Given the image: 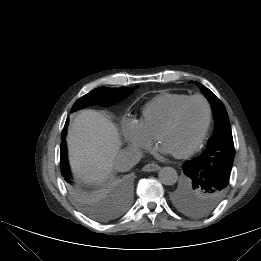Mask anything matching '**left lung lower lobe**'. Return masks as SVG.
<instances>
[{
    "label": "left lung lower lobe",
    "mask_w": 261,
    "mask_h": 261,
    "mask_svg": "<svg viewBox=\"0 0 261 261\" xmlns=\"http://www.w3.org/2000/svg\"><path fill=\"white\" fill-rule=\"evenodd\" d=\"M183 172L186 175V177L189 178H196L198 177L202 172L199 170V167L194 161H187L182 165Z\"/></svg>",
    "instance_id": "1"
}]
</instances>
